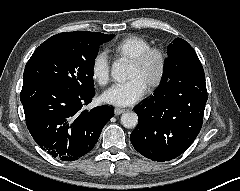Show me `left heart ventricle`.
Here are the masks:
<instances>
[{"instance_id":"b2bd125f","label":"left heart ventricle","mask_w":240,"mask_h":191,"mask_svg":"<svg viewBox=\"0 0 240 191\" xmlns=\"http://www.w3.org/2000/svg\"><path fill=\"white\" fill-rule=\"evenodd\" d=\"M157 71L158 61L156 58L151 59L144 67H137L131 63L128 70V78L137 77L147 85L155 77Z\"/></svg>"}]
</instances>
